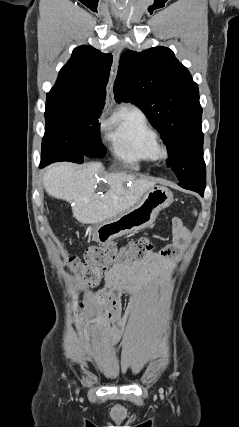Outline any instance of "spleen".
<instances>
[{"mask_svg":"<svg viewBox=\"0 0 239 427\" xmlns=\"http://www.w3.org/2000/svg\"><path fill=\"white\" fill-rule=\"evenodd\" d=\"M194 214L197 215V212L195 211Z\"/></svg>","mask_w":239,"mask_h":427,"instance_id":"spleen-1","label":"spleen"}]
</instances>
